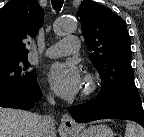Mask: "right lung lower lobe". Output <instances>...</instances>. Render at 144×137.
<instances>
[{
	"instance_id": "obj_1",
	"label": "right lung lower lobe",
	"mask_w": 144,
	"mask_h": 137,
	"mask_svg": "<svg viewBox=\"0 0 144 137\" xmlns=\"http://www.w3.org/2000/svg\"><path fill=\"white\" fill-rule=\"evenodd\" d=\"M42 97L40 88L33 95L16 90H0V107L31 109Z\"/></svg>"
}]
</instances>
